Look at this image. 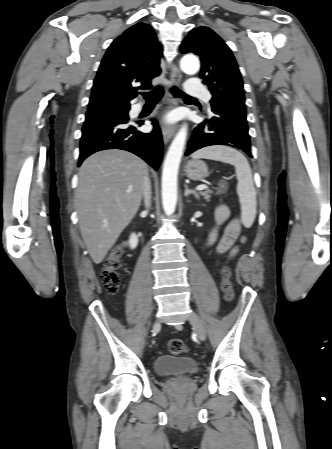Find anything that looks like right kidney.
<instances>
[{
  "label": "right kidney",
  "mask_w": 332,
  "mask_h": 449,
  "mask_svg": "<svg viewBox=\"0 0 332 449\" xmlns=\"http://www.w3.org/2000/svg\"><path fill=\"white\" fill-rule=\"evenodd\" d=\"M129 245L131 249H135L138 245V236L136 234H131L129 239Z\"/></svg>",
  "instance_id": "ca27d5eb"
}]
</instances>
